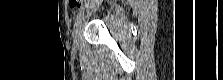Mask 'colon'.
Masks as SVG:
<instances>
[{
    "label": "colon",
    "mask_w": 223,
    "mask_h": 80,
    "mask_svg": "<svg viewBox=\"0 0 223 80\" xmlns=\"http://www.w3.org/2000/svg\"><path fill=\"white\" fill-rule=\"evenodd\" d=\"M83 2V0H69V5L72 8H79Z\"/></svg>",
    "instance_id": "1"
}]
</instances>
